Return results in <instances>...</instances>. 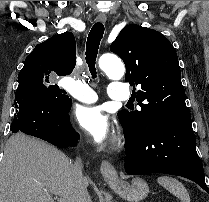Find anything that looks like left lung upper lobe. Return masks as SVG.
<instances>
[{
    "instance_id": "5c2ea615",
    "label": "left lung upper lobe",
    "mask_w": 209,
    "mask_h": 202,
    "mask_svg": "<svg viewBox=\"0 0 209 202\" xmlns=\"http://www.w3.org/2000/svg\"><path fill=\"white\" fill-rule=\"evenodd\" d=\"M110 50L125 63V81L139 88L132 92V97L141 110L118 112L123 128L143 132L158 116L169 120L191 119L177 53L164 35L150 28L127 25Z\"/></svg>"
}]
</instances>
